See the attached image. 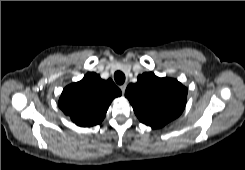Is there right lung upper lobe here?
<instances>
[{"label": "right lung upper lobe", "mask_w": 245, "mask_h": 170, "mask_svg": "<svg viewBox=\"0 0 245 170\" xmlns=\"http://www.w3.org/2000/svg\"><path fill=\"white\" fill-rule=\"evenodd\" d=\"M121 90L111 79L89 72L84 78L64 88L58 105L78 126L89 127L102 122L109 105Z\"/></svg>", "instance_id": "cb5924a9"}]
</instances>
